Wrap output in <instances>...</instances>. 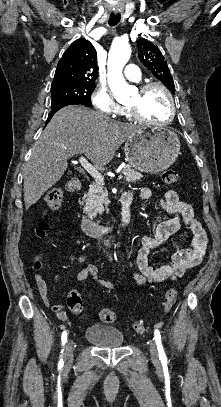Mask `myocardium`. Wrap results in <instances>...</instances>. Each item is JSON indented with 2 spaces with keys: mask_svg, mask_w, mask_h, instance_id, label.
Listing matches in <instances>:
<instances>
[{
  "mask_svg": "<svg viewBox=\"0 0 221 407\" xmlns=\"http://www.w3.org/2000/svg\"><path fill=\"white\" fill-rule=\"evenodd\" d=\"M153 88H158L160 90H162L169 102V116L166 120L164 121H160V122H155V121H151L146 119L139 108V105H132V106H126V110L128 112V114L130 115V117H132L134 120L143 123V124H148V125H160V126H164V125H168L170 124L176 114V104L174 101V97L171 93V91L163 84L159 83V82H150V83H146L141 85L138 88V93L140 95V97H143L149 90L153 89Z\"/></svg>",
  "mask_w": 221,
  "mask_h": 407,
  "instance_id": "1",
  "label": "myocardium"
}]
</instances>
